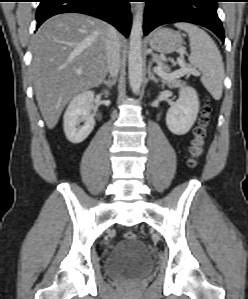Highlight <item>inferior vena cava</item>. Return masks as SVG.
Wrapping results in <instances>:
<instances>
[{
    "instance_id": "inferior-vena-cava-1",
    "label": "inferior vena cava",
    "mask_w": 248,
    "mask_h": 299,
    "mask_svg": "<svg viewBox=\"0 0 248 299\" xmlns=\"http://www.w3.org/2000/svg\"><path fill=\"white\" fill-rule=\"evenodd\" d=\"M106 56L108 71L111 77H116L120 68V43L117 31L109 27L106 41Z\"/></svg>"
}]
</instances>
